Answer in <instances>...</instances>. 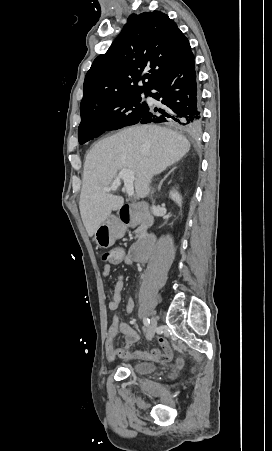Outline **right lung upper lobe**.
Here are the masks:
<instances>
[{"mask_svg":"<svg viewBox=\"0 0 272 451\" xmlns=\"http://www.w3.org/2000/svg\"><path fill=\"white\" fill-rule=\"evenodd\" d=\"M189 52L188 39L168 15L161 11L130 15L120 35L87 72L80 113L107 101L149 93ZM140 79L143 86H138Z\"/></svg>","mask_w":272,"mask_h":451,"instance_id":"cb5924a9","label":"right lung upper lobe"}]
</instances>
